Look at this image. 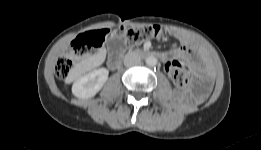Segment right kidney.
Masks as SVG:
<instances>
[{"mask_svg":"<svg viewBox=\"0 0 261 150\" xmlns=\"http://www.w3.org/2000/svg\"><path fill=\"white\" fill-rule=\"evenodd\" d=\"M109 71L106 68L93 70L73 83L72 93L81 99L94 97L104 86Z\"/></svg>","mask_w":261,"mask_h":150,"instance_id":"right-kidney-1","label":"right kidney"}]
</instances>
